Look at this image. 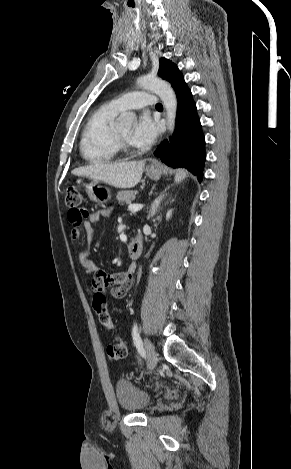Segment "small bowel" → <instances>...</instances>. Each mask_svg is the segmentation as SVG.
<instances>
[{
  "label": "small bowel",
  "mask_w": 291,
  "mask_h": 469,
  "mask_svg": "<svg viewBox=\"0 0 291 469\" xmlns=\"http://www.w3.org/2000/svg\"><path fill=\"white\" fill-rule=\"evenodd\" d=\"M108 214L109 210H103L91 215L86 213L82 217H79L76 212L69 211L68 222L71 227L70 234L72 240L78 241L80 239L82 226L88 232L91 229V222H96L101 217ZM80 261L87 271L93 275L88 283V287L93 293V300L96 293H105L107 290H109L113 297L118 299L123 298L127 294L136 268L134 264H132L126 271L110 274L99 269L93 262L88 261L84 256L80 258Z\"/></svg>",
  "instance_id": "1"
}]
</instances>
